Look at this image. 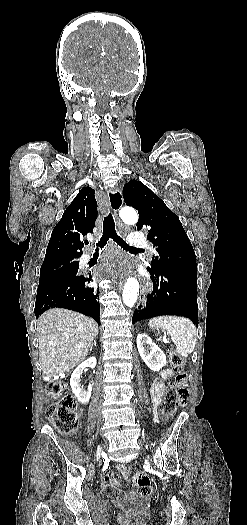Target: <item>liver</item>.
Segmentation results:
<instances>
[{
    "instance_id": "liver-1",
    "label": "liver",
    "mask_w": 247,
    "mask_h": 525,
    "mask_svg": "<svg viewBox=\"0 0 247 525\" xmlns=\"http://www.w3.org/2000/svg\"><path fill=\"white\" fill-rule=\"evenodd\" d=\"M37 333L43 375L56 377L85 361L98 323L68 309H48L37 321Z\"/></svg>"
}]
</instances>
